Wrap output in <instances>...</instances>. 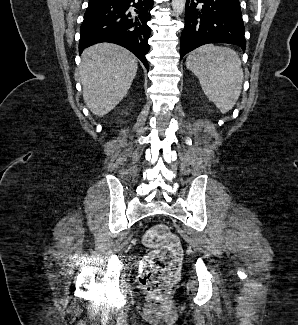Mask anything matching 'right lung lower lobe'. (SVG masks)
Returning <instances> with one entry per match:
<instances>
[{
	"label": "right lung lower lobe",
	"mask_w": 298,
	"mask_h": 325,
	"mask_svg": "<svg viewBox=\"0 0 298 325\" xmlns=\"http://www.w3.org/2000/svg\"><path fill=\"white\" fill-rule=\"evenodd\" d=\"M153 0H89L80 29L79 52L93 44L110 42L133 52L149 69L145 55L149 52Z\"/></svg>",
	"instance_id": "right-lung-lower-lobe-1"
}]
</instances>
